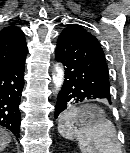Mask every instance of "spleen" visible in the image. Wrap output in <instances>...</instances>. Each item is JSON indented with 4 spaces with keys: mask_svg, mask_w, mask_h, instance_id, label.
I'll use <instances>...</instances> for the list:
<instances>
[{
    "mask_svg": "<svg viewBox=\"0 0 130 153\" xmlns=\"http://www.w3.org/2000/svg\"><path fill=\"white\" fill-rule=\"evenodd\" d=\"M82 108L70 107L60 116L58 131L66 139L76 138L82 153H121L113 123L104 118L94 124L81 123Z\"/></svg>",
    "mask_w": 130,
    "mask_h": 153,
    "instance_id": "spleen-1",
    "label": "spleen"
}]
</instances>
